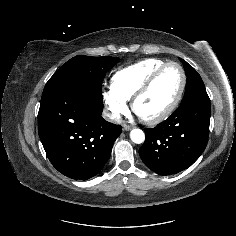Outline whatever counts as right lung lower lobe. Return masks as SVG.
<instances>
[{"label": "right lung lower lobe", "instance_id": "obj_1", "mask_svg": "<svg viewBox=\"0 0 236 236\" xmlns=\"http://www.w3.org/2000/svg\"><path fill=\"white\" fill-rule=\"evenodd\" d=\"M103 104L78 89L41 98L38 133L48 159L63 175L87 180L108 161L122 127L103 119Z\"/></svg>", "mask_w": 236, "mask_h": 236}]
</instances>
